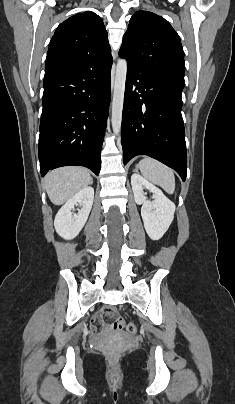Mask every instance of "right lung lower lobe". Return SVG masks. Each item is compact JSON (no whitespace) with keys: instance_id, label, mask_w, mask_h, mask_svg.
I'll use <instances>...</instances> for the list:
<instances>
[{"instance_id":"98d812e1","label":"right lung lower lobe","mask_w":235,"mask_h":404,"mask_svg":"<svg viewBox=\"0 0 235 404\" xmlns=\"http://www.w3.org/2000/svg\"><path fill=\"white\" fill-rule=\"evenodd\" d=\"M111 66L44 79L38 146L41 176L68 165L85 166L99 175Z\"/></svg>"}]
</instances>
